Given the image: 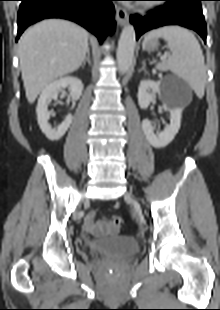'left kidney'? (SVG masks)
I'll return each mask as SVG.
<instances>
[{
    "label": "left kidney",
    "instance_id": "left-kidney-1",
    "mask_svg": "<svg viewBox=\"0 0 220 310\" xmlns=\"http://www.w3.org/2000/svg\"><path fill=\"white\" fill-rule=\"evenodd\" d=\"M156 94L167 100V102L163 104V108L170 112V124L166 126L164 131L155 134V128L152 126L151 122L148 119H144L142 121V129L148 142L153 147L164 148L174 139L180 129L183 106L174 103L168 90L161 86V82L143 80L140 82L138 89V103L140 108L146 109L155 98Z\"/></svg>",
    "mask_w": 220,
    "mask_h": 310
}]
</instances>
